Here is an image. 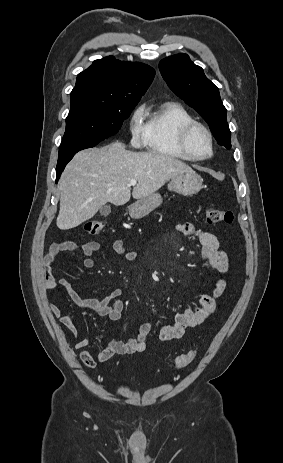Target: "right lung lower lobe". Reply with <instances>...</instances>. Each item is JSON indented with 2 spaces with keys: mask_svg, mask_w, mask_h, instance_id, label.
<instances>
[{
  "mask_svg": "<svg viewBox=\"0 0 283 463\" xmlns=\"http://www.w3.org/2000/svg\"><path fill=\"white\" fill-rule=\"evenodd\" d=\"M99 142H94V143H86V144H81L77 145L74 147H70L67 149H62L59 150V156H58V162H57V167H56V183L63 172L66 164L73 158V156L80 150L94 147L97 145Z\"/></svg>",
  "mask_w": 283,
  "mask_h": 463,
  "instance_id": "obj_1",
  "label": "right lung lower lobe"
}]
</instances>
